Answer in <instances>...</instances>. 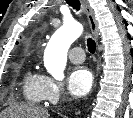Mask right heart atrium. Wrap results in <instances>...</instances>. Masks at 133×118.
Here are the masks:
<instances>
[{
	"instance_id": "right-heart-atrium-1",
	"label": "right heart atrium",
	"mask_w": 133,
	"mask_h": 118,
	"mask_svg": "<svg viewBox=\"0 0 133 118\" xmlns=\"http://www.w3.org/2000/svg\"><path fill=\"white\" fill-rule=\"evenodd\" d=\"M44 100L50 103L57 102L64 95L63 83L49 76H43Z\"/></svg>"
}]
</instances>
